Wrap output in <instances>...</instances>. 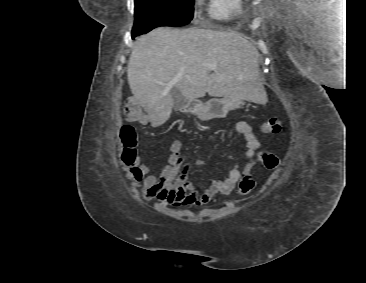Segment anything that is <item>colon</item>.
<instances>
[{
    "mask_svg": "<svg viewBox=\"0 0 366 283\" xmlns=\"http://www.w3.org/2000/svg\"><path fill=\"white\" fill-rule=\"evenodd\" d=\"M123 114L126 120L130 122H138L142 119V110L139 104L134 99H127L123 105ZM283 129V121L279 116H274L267 119L262 125V131L268 135L279 134ZM121 138L125 145L123 152V160L130 163L135 159L137 137L135 131L131 126H125L121 131ZM258 160L266 169L275 170L280 166L279 158L270 152H261ZM256 162V161H255ZM255 163L249 164L245 167L241 178L239 180L238 191L241 195H248L255 186V181L252 177L251 170Z\"/></svg>",
    "mask_w": 366,
    "mask_h": 283,
    "instance_id": "5ec220e1",
    "label": "colon"
}]
</instances>
